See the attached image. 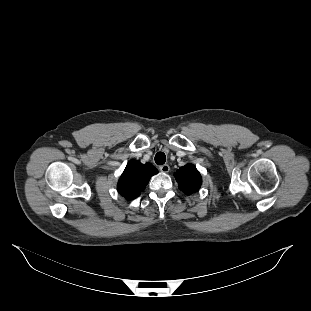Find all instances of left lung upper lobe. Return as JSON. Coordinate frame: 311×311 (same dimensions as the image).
I'll return each mask as SVG.
<instances>
[{"instance_id": "left-lung-upper-lobe-1", "label": "left lung upper lobe", "mask_w": 311, "mask_h": 311, "mask_svg": "<svg viewBox=\"0 0 311 311\" xmlns=\"http://www.w3.org/2000/svg\"><path fill=\"white\" fill-rule=\"evenodd\" d=\"M179 188L187 195L195 193L202 184V178L193 164L180 167L175 173Z\"/></svg>"}]
</instances>
